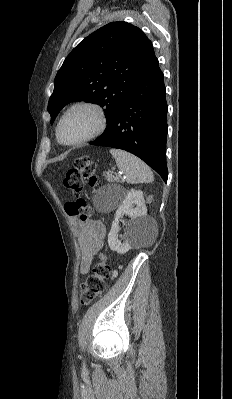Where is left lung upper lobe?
<instances>
[{
	"label": "left lung upper lobe",
	"instance_id": "1",
	"mask_svg": "<svg viewBox=\"0 0 232 399\" xmlns=\"http://www.w3.org/2000/svg\"><path fill=\"white\" fill-rule=\"evenodd\" d=\"M152 45L141 29L112 22L81 41L59 69L48 102L51 124L68 103L105 107L107 132Z\"/></svg>",
	"mask_w": 232,
	"mask_h": 399
}]
</instances>
